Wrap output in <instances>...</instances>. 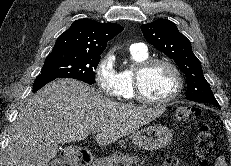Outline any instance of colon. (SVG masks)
<instances>
[{"label":"colon","instance_id":"obj_1","mask_svg":"<svg viewBox=\"0 0 231 166\" xmlns=\"http://www.w3.org/2000/svg\"><path fill=\"white\" fill-rule=\"evenodd\" d=\"M175 117L180 122H188L198 115V110L191 106H177L174 111ZM216 145V137L210 125H201L194 143V151L198 166H207ZM50 166H63L56 162ZM164 166H179V160L175 157L165 161Z\"/></svg>","mask_w":231,"mask_h":166}]
</instances>
